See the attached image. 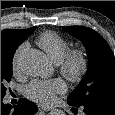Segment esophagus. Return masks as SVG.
Returning <instances> with one entry per match:
<instances>
[{"label":"esophagus","instance_id":"esophagus-1","mask_svg":"<svg viewBox=\"0 0 115 115\" xmlns=\"http://www.w3.org/2000/svg\"><path fill=\"white\" fill-rule=\"evenodd\" d=\"M39 110H42V111H50L51 108L45 107V106H39Z\"/></svg>","mask_w":115,"mask_h":115}]
</instances>
